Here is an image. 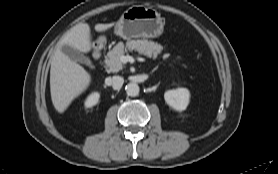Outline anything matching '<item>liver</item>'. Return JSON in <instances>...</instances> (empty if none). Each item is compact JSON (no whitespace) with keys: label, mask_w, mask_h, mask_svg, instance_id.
<instances>
[{"label":"liver","mask_w":278,"mask_h":174,"mask_svg":"<svg viewBox=\"0 0 278 174\" xmlns=\"http://www.w3.org/2000/svg\"><path fill=\"white\" fill-rule=\"evenodd\" d=\"M113 26L114 23L97 24L95 30L103 32ZM65 44L83 53L90 52L93 44L89 24L79 23L66 32L57 44L52 57L50 92L52 103L59 113H63L91 83V75L61 51V47Z\"/></svg>","instance_id":"liver-1"}]
</instances>
